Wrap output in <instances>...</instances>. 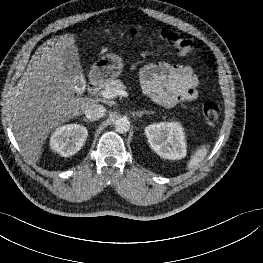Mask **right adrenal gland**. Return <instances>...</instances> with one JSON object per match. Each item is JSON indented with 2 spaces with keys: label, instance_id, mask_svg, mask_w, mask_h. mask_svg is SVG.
I'll use <instances>...</instances> for the list:
<instances>
[{
  "label": "right adrenal gland",
  "instance_id": "1",
  "mask_svg": "<svg viewBox=\"0 0 263 263\" xmlns=\"http://www.w3.org/2000/svg\"><path fill=\"white\" fill-rule=\"evenodd\" d=\"M84 121H85V122H89V123H90V121H88L87 119H84Z\"/></svg>",
  "mask_w": 263,
  "mask_h": 263
}]
</instances>
